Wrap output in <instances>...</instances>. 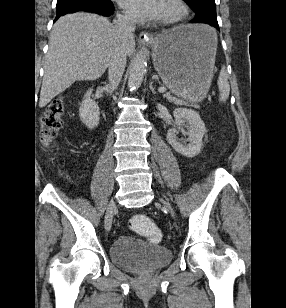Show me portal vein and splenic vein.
Here are the masks:
<instances>
[{
	"instance_id": "1",
	"label": "portal vein and splenic vein",
	"mask_w": 286,
	"mask_h": 308,
	"mask_svg": "<svg viewBox=\"0 0 286 308\" xmlns=\"http://www.w3.org/2000/svg\"><path fill=\"white\" fill-rule=\"evenodd\" d=\"M158 91H159L160 93H164V92L166 91V88H165V87H160V88L158 89Z\"/></svg>"
}]
</instances>
